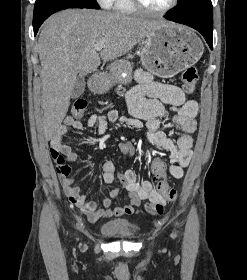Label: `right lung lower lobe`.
Listing matches in <instances>:
<instances>
[{"label":"right lung lower lobe","mask_w":247,"mask_h":280,"mask_svg":"<svg viewBox=\"0 0 247 280\" xmlns=\"http://www.w3.org/2000/svg\"><path fill=\"white\" fill-rule=\"evenodd\" d=\"M43 22H38V23H33V28H34V35H36L40 25L42 24Z\"/></svg>","instance_id":"obj_1"}]
</instances>
